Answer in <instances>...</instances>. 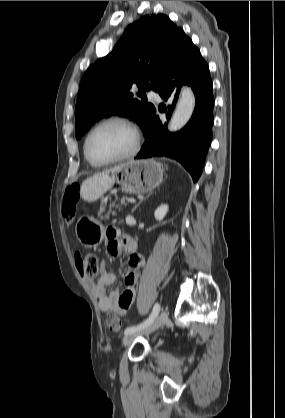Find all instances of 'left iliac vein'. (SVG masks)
<instances>
[{"instance_id": "1", "label": "left iliac vein", "mask_w": 285, "mask_h": 418, "mask_svg": "<svg viewBox=\"0 0 285 418\" xmlns=\"http://www.w3.org/2000/svg\"><path fill=\"white\" fill-rule=\"evenodd\" d=\"M166 321H168V314L165 310H163L160 315L148 326H146L142 330L135 331L133 333H130L126 335L123 339V345L127 346L132 343L134 339H136L138 336L141 335H148L157 330L159 327H161Z\"/></svg>"}]
</instances>
